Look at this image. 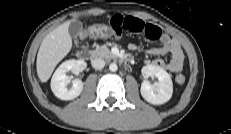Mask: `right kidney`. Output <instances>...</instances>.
Returning <instances> with one entry per match:
<instances>
[{"label":"right kidney","instance_id":"1","mask_svg":"<svg viewBox=\"0 0 231 134\" xmlns=\"http://www.w3.org/2000/svg\"><path fill=\"white\" fill-rule=\"evenodd\" d=\"M87 64L83 60H67L63 62L55 71L51 79V90L54 95L61 100H73L78 97L83 90V82L79 79L72 81V88L68 89L67 85L71 82L67 72L72 71L79 74L86 68Z\"/></svg>","mask_w":231,"mask_h":134}]
</instances>
